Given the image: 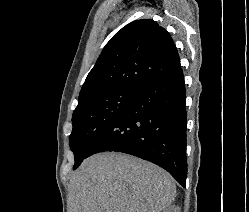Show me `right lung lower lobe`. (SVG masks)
<instances>
[{
  "label": "right lung lower lobe",
  "instance_id": "98d812e1",
  "mask_svg": "<svg viewBox=\"0 0 249 212\" xmlns=\"http://www.w3.org/2000/svg\"><path fill=\"white\" fill-rule=\"evenodd\" d=\"M186 94L181 66L145 87L92 145L88 157L115 151L148 160L186 186Z\"/></svg>",
  "mask_w": 249,
  "mask_h": 212
}]
</instances>
